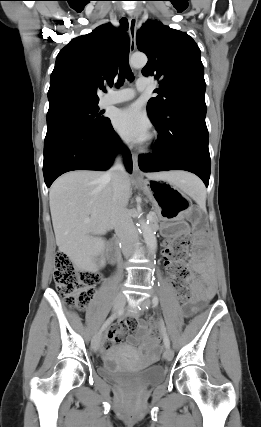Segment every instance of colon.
Returning a JSON list of instances; mask_svg holds the SVG:
<instances>
[{
    "label": "colon",
    "instance_id": "1",
    "mask_svg": "<svg viewBox=\"0 0 261 427\" xmlns=\"http://www.w3.org/2000/svg\"><path fill=\"white\" fill-rule=\"evenodd\" d=\"M188 244L187 236L182 235L173 239L165 249L171 284L182 303H186L190 298L189 286L192 280L191 271L184 263ZM99 280L100 275L97 272L80 269L66 253L56 254L54 281L68 306L85 309L93 298L94 288ZM140 330L151 338L158 337L156 327H148L142 323Z\"/></svg>",
    "mask_w": 261,
    "mask_h": 427
}]
</instances>
